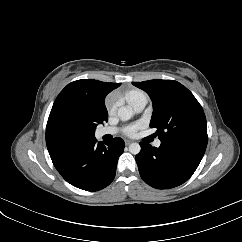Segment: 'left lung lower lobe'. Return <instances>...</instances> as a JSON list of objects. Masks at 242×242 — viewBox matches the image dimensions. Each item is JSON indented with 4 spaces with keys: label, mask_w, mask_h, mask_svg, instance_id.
<instances>
[{
    "label": "left lung lower lobe",
    "mask_w": 242,
    "mask_h": 242,
    "mask_svg": "<svg viewBox=\"0 0 242 242\" xmlns=\"http://www.w3.org/2000/svg\"><path fill=\"white\" fill-rule=\"evenodd\" d=\"M135 157L142 179L157 189L183 184L197 169L205 149L197 146H172L161 143L159 148L140 142Z\"/></svg>",
    "instance_id": "left-lung-lower-lobe-1"
}]
</instances>
